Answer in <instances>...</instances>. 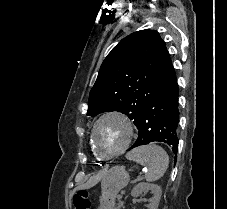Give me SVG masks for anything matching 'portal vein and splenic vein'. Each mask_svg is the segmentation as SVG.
I'll use <instances>...</instances> for the list:
<instances>
[{
	"mask_svg": "<svg viewBox=\"0 0 227 209\" xmlns=\"http://www.w3.org/2000/svg\"><path fill=\"white\" fill-rule=\"evenodd\" d=\"M127 191L125 189H122L121 190V193L118 194V197L119 198H122L123 197V194H125Z\"/></svg>",
	"mask_w": 227,
	"mask_h": 209,
	"instance_id": "1",
	"label": "portal vein and splenic vein"
}]
</instances>
